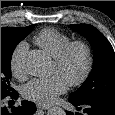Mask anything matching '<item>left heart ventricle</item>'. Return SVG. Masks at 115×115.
Segmentation results:
<instances>
[{
    "mask_svg": "<svg viewBox=\"0 0 115 115\" xmlns=\"http://www.w3.org/2000/svg\"><path fill=\"white\" fill-rule=\"evenodd\" d=\"M85 67V56L82 50H76L71 55L67 66L63 70H58L55 64L52 68V73L59 75L66 82L70 79L77 78Z\"/></svg>",
    "mask_w": 115,
    "mask_h": 115,
    "instance_id": "left-heart-ventricle-1",
    "label": "left heart ventricle"
}]
</instances>
